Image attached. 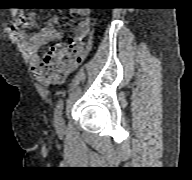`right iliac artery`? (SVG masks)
Returning <instances> with one entry per match:
<instances>
[{
  "mask_svg": "<svg viewBox=\"0 0 192 180\" xmlns=\"http://www.w3.org/2000/svg\"><path fill=\"white\" fill-rule=\"evenodd\" d=\"M63 110V101L60 100L55 108V122H57L58 118L61 116Z\"/></svg>",
  "mask_w": 192,
  "mask_h": 180,
  "instance_id": "obj_1",
  "label": "right iliac artery"
}]
</instances>
